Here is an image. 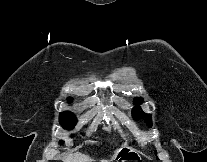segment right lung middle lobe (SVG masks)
Masks as SVG:
<instances>
[{
	"instance_id": "1",
	"label": "right lung middle lobe",
	"mask_w": 207,
	"mask_h": 162,
	"mask_svg": "<svg viewBox=\"0 0 207 162\" xmlns=\"http://www.w3.org/2000/svg\"><path fill=\"white\" fill-rule=\"evenodd\" d=\"M59 121L67 129H72L77 122L76 117L69 111L60 113Z\"/></svg>"
}]
</instances>
